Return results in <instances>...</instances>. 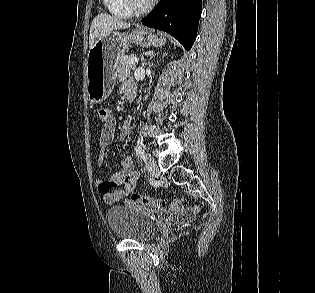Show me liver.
<instances>
[{
	"instance_id": "obj_1",
	"label": "liver",
	"mask_w": 315,
	"mask_h": 293,
	"mask_svg": "<svg viewBox=\"0 0 315 293\" xmlns=\"http://www.w3.org/2000/svg\"><path fill=\"white\" fill-rule=\"evenodd\" d=\"M131 26L117 17L106 13L98 14L92 21L89 33V47H93L99 38L108 36L111 32L118 29H126Z\"/></svg>"
}]
</instances>
